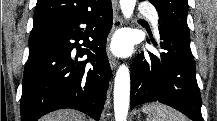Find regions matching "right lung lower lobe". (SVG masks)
<instances>
[{
    "mask_svg": "<svg viewBox=\"0 0 217 121\" xmlns=\"http://www.w3.org/2000/svg\"><path fill=\"white\" fill-rule=\"evenodd\" d=\"M97 1L76 17L33 27L20 101L22 121H37L61 108L100 119L111 77L105 47L113 14L111 0Z\"/></svg>",
    "mask_w": 217,
    "mask_h": 121,
    "instance_id": "right-lung-lower-lobe-1",
    "label": "right lung lower lobe"
}]
</instances>
